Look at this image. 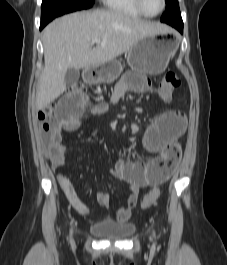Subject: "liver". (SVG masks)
<instances>
[{
  "instance_id": "liver-1",
  "label": "liver",
  "mask_w": 227,
  "mask_h": 265,
  "mask_svg": "<svg viewBox=\"0 0 227 265\" xmlns=\"http://www.w3.org/2000/svg\"><path fill=\"white\" fill-rule=\"evenodd\" d=\"M166 31L162 25L118 11L76 12L52 21L43 31L45 65L36 94L37 110L64 93L69 68L79 70L115 60L138 40ZM95 38L101 42L91 49Z\"/></svg>"
}]
</instances>
